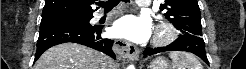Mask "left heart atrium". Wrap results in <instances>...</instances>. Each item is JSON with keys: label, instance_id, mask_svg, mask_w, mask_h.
I'll return each instance as SVG.
<instances>
[{"label": "left heart atrium", "instance_id": "obj_1", "mask_svg": "<svg viewBox=\"0 0 246 69\" xmlns=\"http://www.w3.org/2000/svg\"><path fill=\"white\" fill-rule=\"evenodd\" d=\"M112 32L117 37L141 43L150 36L151 26L143 16L127 15L115 22Z\"/></svg>", "mask_w": 246, "mask_h": 69}]
</instances>
